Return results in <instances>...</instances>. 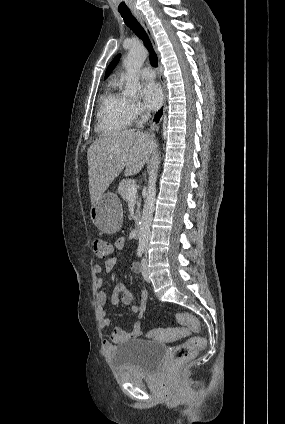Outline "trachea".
I'll use <instances>...</instances> for the list:
<instances>
[{"label": "trachea", "instance_id": "obj_1", "mask_svg": "<svg viewBox=\"0 0 285 424\" xmlns=\"http://www.w3.org/2000/svg\"><path fill=\"white\" fill-rule=\"evenodd\" d=\"M125 24L138 36L142 39L146 47L150 52V63L152 66H158L157 55L154 52L152 44L147 36L145 30L140 25V23L136 20V18L132 15L130 10L119 11Z\"/></svg>", "mask_w": 285, "mask_h": 424}]
</instances>
